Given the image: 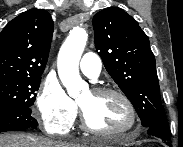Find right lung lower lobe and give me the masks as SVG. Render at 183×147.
Instances as JSON below:
<instances>
[{
	"label": "right lung lower lobe",
	"instance_id": "98d812e1",
	"mask_svg": "<svg viewBox=\"0 0 183 147\" xmlns=\"http://www.w3.org/2000/svg\"><path fill=\"white\" fill-rule=\"evenodd\" d=\"M31 112L30 107L0 109V132L36 128L37 121L31 116Z\"/></svg>",
	"mask_w": 183,
	"mask_h": 147
}]
</instances>
